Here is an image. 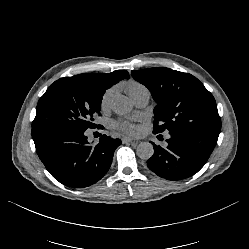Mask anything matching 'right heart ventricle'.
I'll return each mask as SVG.
<instances>
[{"label":"right heart ventricle","instance_id":"1","mask_svg":"<svg viewBox=\"0 0 249 249\" xmlns=\"http://www.w3.org/2000/svg\"><path fill=\"white\" fill-rule=\"evenodd\" d=\"M124 87L131 98H133L141 93L149 92L148 88L144 84L140 83L139 81L133 80V79H130V80H127L126 82H124Z\"/></svg>","mask_w":249,"mask_h":249}]
</instances>
